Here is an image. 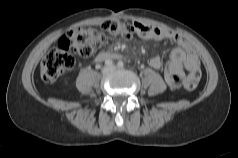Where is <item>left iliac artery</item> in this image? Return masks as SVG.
Listing matches in <instances>:
<instances>
[{
  "label": "left iliac artery",
  "instance_id": "obj_1",
  "mask_svg": "<svg viewBox=\"0 0 238 158\" xmlns=\"http://www.w3.org/2000/svg\"><path fill=\"white\" fill-rule=\"evenodd\" d=\"M117 66H118L119 68H122V67L124 66V63H123L122 61H119V62L117 63Z\"/></svg>",
  "mask_w": 238,
  "mask_h": 158
}]
</instances>
